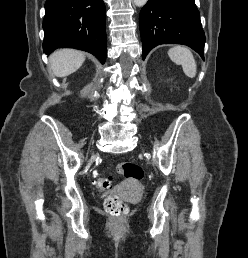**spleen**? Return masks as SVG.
<instances>
[{"instance_id":"3e777b00","label":"spleen","mask_w":248,"mask_h":258,"mask_svg":"<svg viewBox=\"0 0 248 258\" xmlns=\"http://www.w3.org/2000/svg\"><path fill=\"white\" fill-rule=\"evenodd\" d=\"M168 55L170 59L179 65H182L183 72L189 78L196 76L197 65L192 52L183 46H175L169 49Z\"/></svg>"}]
</instances>
